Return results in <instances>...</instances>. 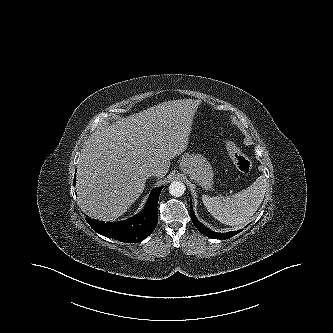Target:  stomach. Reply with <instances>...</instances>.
<instances>
[{"label": "stomach", "mask_w": 333, "mask_h": 333, "mask_svg": "<svg viewBox=\"0 0 333 333\" xmlns=\"http://www.w3.org/2000/svg\"><path fill=\"white\" fill-rule=\"evenodd\" d=\"M180 169L191 179L204 188H210L213 184V169L208 160L201 154L192 150L182 156Z\"/></svg>", "instance_id": "1"}]
</instances>
